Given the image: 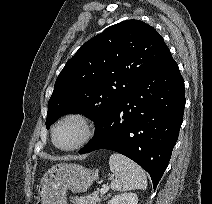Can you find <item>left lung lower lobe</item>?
<instances>
[{"instance_id":"1","label":"left lung lower lobe","mask_w":212,"mask_h":204,"mask_svg":"<svg viewBox=\"0 0 212 204\" xmlns=\"http://www.w3.org/2000/svg\"><path fill=\"white\" fill-rule=\"evenodd\" d=\"M184 107V80L169 51L111 108L79 153H121L150 174L155 189L178 139Z\"/></svg>"}]
</instances>
